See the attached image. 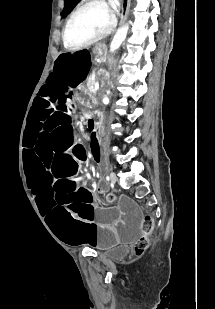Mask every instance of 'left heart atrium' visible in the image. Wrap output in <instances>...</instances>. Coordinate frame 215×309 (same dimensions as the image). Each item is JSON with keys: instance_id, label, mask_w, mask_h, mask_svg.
<instances>
[{"instance_id": "1", "label": "left heart atrium", "mask_w": 215, "mask_h": 309, "mask_svg": "<svg viewBox=\"0 0 215 309\" xmlns=\"http://www.w3.org/2000/svg\"><path fill=\"white\" fill-rule=\"evenodd\" d=\"M111 5H114V0H111ZM111 14H112V12H111Z\"/></svg>"}]
</instances>
